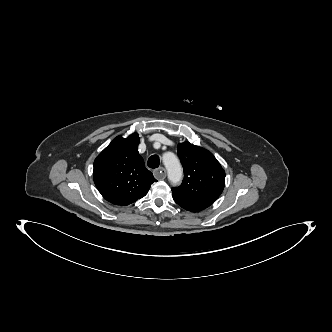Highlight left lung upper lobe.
Instances as JSON below:
<instances>
[{"label":"left lung upper lobe","instance_id":"1","mask_svg":"<svg viewBox=\"0 0 332 332\" xmlns=\"http://www.w3.org/2000/svg\"><path fill=\"white\" fill-rule=\"evenodd\" d=\"M184 180L172 188L174 201L187 211L198 212L212 205L225 185V172L211 152L189 142L178 145Z\"/></svg>","mask_w":332,"mask_h":332}]
</instances>
